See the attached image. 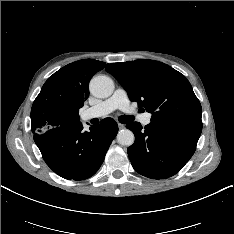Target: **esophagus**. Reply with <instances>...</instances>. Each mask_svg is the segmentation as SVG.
Segmentation results:
<instances>
[{"instance_id": "obj_1", "label": "esophagus", "mask_w": 234, "mask_h": 234, "mask_svg": "<svg viewBox=\"0 0 234 234\" xmlns=\"http://www.w3.org/2000/svg\"><path fill=\"white\" fill-rule=\"evenodd\" d=\"M118 127H119L120 130L125 129V125L121 124V123H118Z\"/></svg>"}]
</instances>
